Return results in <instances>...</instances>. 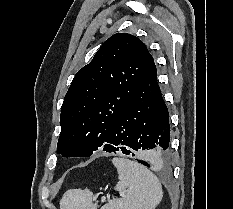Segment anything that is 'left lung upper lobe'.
Here are the masks:
<instances>
[{
	"instance_id": "1",
	"label": "left lung upper lobe",
	"mask_w": 233,
	"mask_h": 209,
	"mask_svg": "<svg viewBox=\"0 0 233 209\" xmlns=\"http://www.w3.org/2000/svg\"><path fill=\"white\" fill-rule=\"evenodd\" d=\"M153 62L137 37L118 33L108 38L76 73L65 95L57 153L89 157L102 149L112 124Z\"/></svg>"
}]
</instances>
